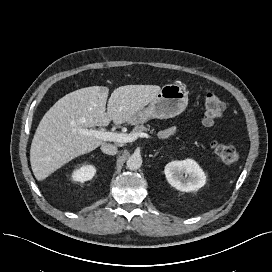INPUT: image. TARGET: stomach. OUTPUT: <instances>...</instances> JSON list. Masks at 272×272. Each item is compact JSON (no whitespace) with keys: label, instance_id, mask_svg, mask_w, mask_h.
<instances>
[{"label":"stomach","instance_id":"obj_1","mask_svg":"<svg viewBox=\"0 0 272 272\" xmlns=\"http://www.w3.org/2000/svg\"><path fill=\"white\" fill-rule=\"evenodd\" d=\"M188 104V91L179 84H166L149 106L138 110L129 121L132 124L147 122L152 118L167 119L181 114Z\"/></svg>","mask_w":272,"mask_h":272}]
</instances>
